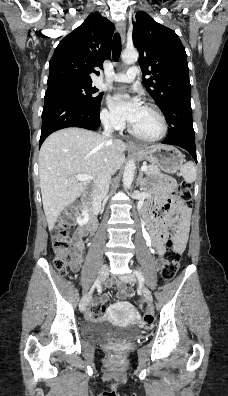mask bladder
Returning <instances> with one entry per match:
<instances>
[{"label":"bladder","instance_id":"31cf9c89","mask_svg":"<svg viewBox=\"0 0 228 396\" xmlns=\"http://www.w3.org/2000/svg\"><path fill=\"white\" fill-rule=\"evenodd\" d=\"M81 336L89 342L134 339L142 334L137 327H120L107 321L89 320L81 326Z\"/></svg>","mask_w":228,"mask_h":396}]
</instances>
